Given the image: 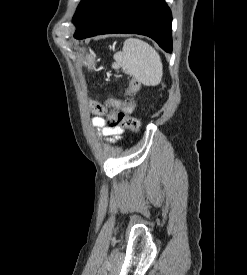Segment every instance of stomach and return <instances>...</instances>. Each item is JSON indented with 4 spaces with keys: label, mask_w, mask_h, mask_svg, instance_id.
Masks as SVG:
<instances>
[{
    "label": "stomach",
    "mask_w": 247,
    "mask_h": 275,
    "mask_svg": "<svg viewBox=\"0 0 247 275\" xmlns=\"http://www.w3.org/2000/svg\"><path fill=\"white\" fill-rule=\"evenodd\" d=\"M92 63V58H89V65Z\"/></svg>",
    "instance_id": "1"
}]
</instances>
